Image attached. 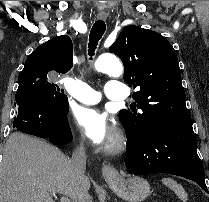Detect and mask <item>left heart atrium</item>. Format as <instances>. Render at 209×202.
<instances>
[{
    "instance_id": "39dd6f15",
    "label": "left heart atrium",
    "mask_w": 209,
    "mask_h": 202,
    "mask_svg": "<svg viewBox=\"0 0 209 202\" xmlns=\"http://www.w3.org/2000/svg\"><path fill=\"white\" fill-rule=\"evenodd\" d=\"M74 117L83 135L93 144H103L115 134V128L109 116L102 113L98 108L78 107Z\"/></svg>"
}]
</instances>
